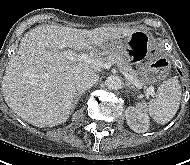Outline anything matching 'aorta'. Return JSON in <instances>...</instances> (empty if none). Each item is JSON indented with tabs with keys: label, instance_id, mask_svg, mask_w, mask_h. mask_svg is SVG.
Listing matches in <instances>:
<instances>
[{
	"label": "aorta",
	"instance_id": "obj_1",
	"mask_svg": "<svg viewBox=\"0 0 190 165\" xmlns=\"http://www.w3.org/2000/svg\"><path fill=\"white\" fill-rule=\"evenodd\" d=\"M105 85L110 90H118L122 86V79L116 75H110L105 80Z\"/></svg>",
	"mask_w": 190,
	"mask_h": 165
}]
</instances>
